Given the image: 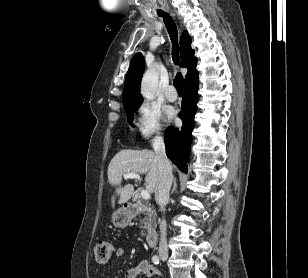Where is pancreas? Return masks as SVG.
Instances as JSON below:
<instances>
[{
	"instance_id": "pancreas-1",
	"label": "pancreas",
	"mask_w": 308,
	"mask_h": 278,
	"mask_svg": "<svg viewBox=\"0 0 308 278\" xmlns=\"http://www.w3.org/2000/svg\"><path fill=\"white\" fill-rule=\"evenodd\" d=\"M136 207L144 208V205L139 201L136 203ZM144 215L145 217L141 222L142 228H143L142 232H144L145 230H148V231L153 230L156 227V216H155L154 211H150L148 213H145ZM142 235L144 234L142 233Z\"/></svg>"
}]
</instances>
